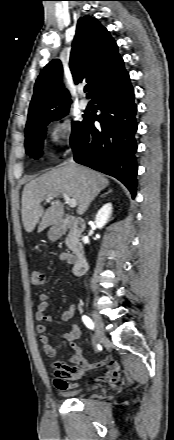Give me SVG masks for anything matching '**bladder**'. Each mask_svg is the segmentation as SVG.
<instances>
[{"instance_id":"obj_1","label":"bladder","mask_w":174,"mask_h":440,"mask_svg":"<svg viewBox=\"0 0 174 440\" xmlns=\"http://www.w3.org/2000/svg\"><path fill=\"white\" fill-rule=\"evenodd\" d=\"M88 391H90V388H85V389L76 390V391H68V392H65L64 394L66 396H75L77 394L88 392Z\"/></svg>"}]
</instances>
